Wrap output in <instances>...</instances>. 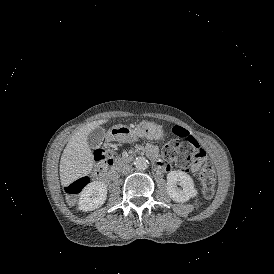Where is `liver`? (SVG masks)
Instances as JSON below:
<instances>
[{
  "mask_svg": "<svg viewBox=\"0 0 274 274\" xmlns=\"http://www.w3.org/2000/svg\"><path fill=\"white\" fill-rule=\"evenodd\" d=\"M103 121H93L81 127L69 140L60 161V180L69 186L74 180L86 176L93 165V156L87 143V136Z\"/></svg>",
  "mask_w": 274,
  "mask_h": 274,
  "instance_id": "6515ba94",
  "label": "liver"
}]
</instances>
